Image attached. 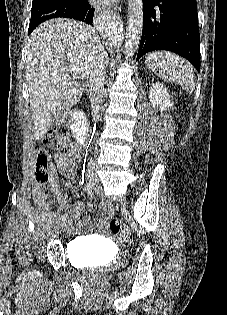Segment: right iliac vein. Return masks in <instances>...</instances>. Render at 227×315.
Returning a JSON list of instances; mask_svg holds the SVG:
<instances>
[{
	"label": "right iliac vein",
	"mask_w": 227,
	"mask_h": 315,
	"mask_svg": "<svg viewBox=\"0 0 227 315\" xmlns=\"http://www.w3.org/2000/svg\"><path fill=\"white\" fill-rule=\"evenodd\" d=\"M87 180L92 185H94L98 182V176L94 170H90L87 173ZM69 225H70L69 220L63 221V223L61 224V230L65 231L66 229H68Z\"/></svg>",
	"instance_id": "63e3f726"
}]
</instances>
